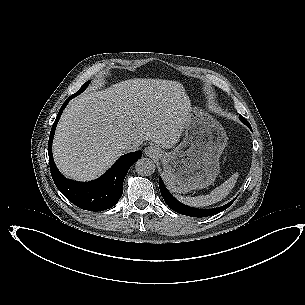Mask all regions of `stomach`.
<instances>
[{
    "mask_svg": "<svg viewBox=\"0 0 305 305\" xmlns=\"http://www.w3.org/2000/svg\"><path fill=\"white\" fill-rule=\"evenodd\" d=\"M227 139L217 120L203 109L191 108L183 140L161 156L163 178L169 190L185 194L211 185L219 174V158Z\"/></svg>",
    "mask_w": 305,
    "mask_h": 305,
    "instance_id": "0dacf381",
    "label": "stomach"
}]
</instances>
